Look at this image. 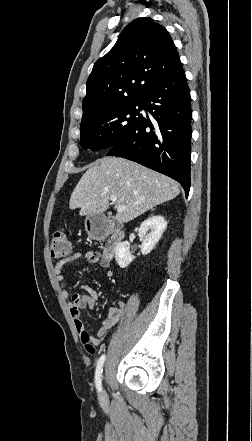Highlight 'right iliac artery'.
<instances>
[{"mask_svg": "<svg viewBox=\"0 0 252 441\" xmlns=\"http://www.w3.org/2000/svg\"><path fill=\"white\" fill-rule=\"evenodd\" d=\"M105 359H106V356L103 354L98 360L97 368H96V372H95V384H96V388L99 392L102 390L101 374H102V367L104 365Z\"/></svg>", "mask_w": 252, "mask_h": 441, "instance_id": "right-iliac-artery-1", "label": "right iliac artery"}]
</instances>
